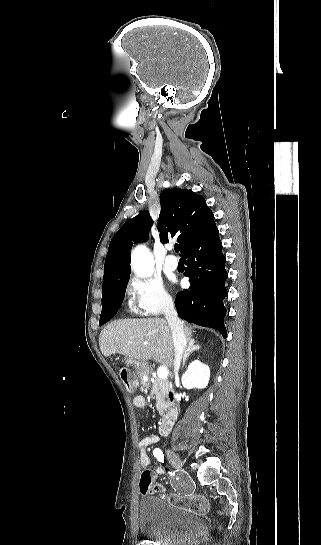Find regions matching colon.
Returning a JSON list of instances; mask_svg holds the SVG:
<instances>
[{"label": "colon", "mask_w": 321, "mask_h": 545, "mask_svg": "<svg viewBox=\"0 0 321 545\" xmlns=\"http://www.w3.org/2000/svg\"><path fill=\"white\" fill-rule=\"evenodd\" d=\"M118 374L128 391L135 389V378L133 373L125 366L118 368ZM139 488L142 493L161 492V487L154 483L153 474L150 470H143L140 476ZM167 500L176 506L186 508L199 514L208 511L206 500L200 495L169 494Z\"/></svg>", "instance_id": "obj_1"}]
</instances>
